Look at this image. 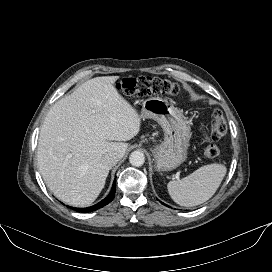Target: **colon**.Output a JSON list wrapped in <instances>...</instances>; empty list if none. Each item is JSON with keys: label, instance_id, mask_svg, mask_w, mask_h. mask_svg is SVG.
<instances>
[{"label": "colon", "instance_id": "colon-1", "mask_svg": "<svg viewBox=\"0 0 272 272\" xmlns=\"http://www.w3.org/2000/svg\"><path fill=\"white\" fill-rule=\"evenodd\" d=\"M117 89L124 95L140 97L151 94L173 96L180 93V87L174 82L155 77L125 78L117 85ZM226 131V120L220 110H214L211 121L200 128L201 135L211 142L220 139ZM218 154L219 148L213 143L208 144L204 149V155L207 159H214Z\"/></svg>", "mask_w": 272, "mask_h": 272}]
</instances>
